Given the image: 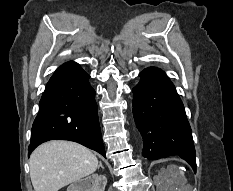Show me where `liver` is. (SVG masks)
Segmentation results:
<instances>
[{"label": "liver", "mask_w": 233, "mask_h": 191, "mask_svg": "<svg viewBox=\"0 0 233 191\" xmlns=\"http://www.w3.org/2000/svg\"><path fill=\"white\" fill-rule=\"evenodd\" d=\"M29 165L34 191H58L94 173L98 159L78 143L52 140L33 151Z\"/></svg>", "instance_id": "1"}]
</instances>
